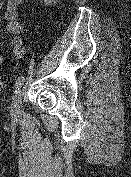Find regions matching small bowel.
<instances>
[{
	"label": "small bowel",
	"instance_id": "small-bowel-1",
	"mask_svg": "<svg viewBox=\"0 0 131 177\" xmlns=\"http://www.w3.org/2000/svg\"><path fill=\"white\" fill-rule=\"evenodd\" d=\"M26 0H7L5 8V20L7 22V29L14 35L11 41V45L14 50V55L17 58H21L25 54V47L23 46L21 34L23 32V26L18 20V10L24 7ZM31 26V22L29 21ZM4 46L0 41V49ZM2 56L0 55V63L2 62Z\"/></svg>",
	"mask_w": 131,
	"mask_h": 177
}]
</instances>
